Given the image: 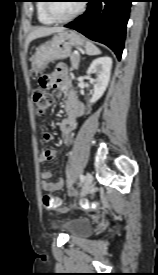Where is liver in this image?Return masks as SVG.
Here are the masks:
<instances>
[{
  "mask_svg": "<svg viewBox=\"0 0 158 275\" xmlns=\"http://www.w3.org/2000/svg\"><path fill=\"white\" fill-rule=\"evenodd\" d=\"M64 30H65V28H63V27H38V28H35L28 35L27 40H26V46H28L29 43L31 41H33L34 39H37L40 37H45V36L51 35L53 33H59Z\"/></svg>",
  "mask_w": 158,
  "mask_h": 275,
  "instance_id": "1",
  "label": "liver"
}]
</instances>
